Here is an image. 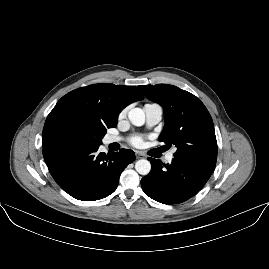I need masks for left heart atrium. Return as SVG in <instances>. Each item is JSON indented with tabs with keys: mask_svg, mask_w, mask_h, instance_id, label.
I'll return each mask as SVG.
<instances>
[{
	"mask_svg": "<svg viewBox=\"0 0 269 269\" xmlns=\"http://www.w3.org/2000/svg\"><path fill=\"white\" fill-rule=\"evenodd\" d=\"M130 143L135 147H141L143 145V139L140 137L133 138Z\"/></svg>",
	"mask_w": 269,
	"mask_h": 269,
	"instance_id": "39dd6f15",
	"label": "left heart atrium"
}]
</instances>
